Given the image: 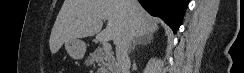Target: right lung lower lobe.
Instances as JSON below:
<instances>
[{
    "label": "right lung lower lobe",
    "instance_id": "obj_1",
    "mask_svg": "<svg viewBox=\"0 0 244 73\" xmlns=\"http://www.w3.org/2000/svg\"><path fill=\"white\" fill-rule=\"evenodd\" d=\"M151 15L160 17L174 31L179 29L188 0H138Z\"/></svg>",
    "mask_w": 244,
    "mask_h": 73
}]
</instances>
